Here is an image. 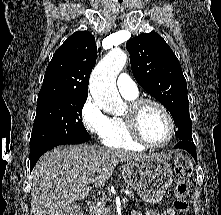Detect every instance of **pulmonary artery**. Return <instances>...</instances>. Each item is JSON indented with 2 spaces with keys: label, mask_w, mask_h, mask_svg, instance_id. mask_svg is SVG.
I'll return each instance as SVG.
<instances>
[{
  "label": "pulmonary artery",
  "mask_w": 221,
  "mask_h": 215,
  "mask_svg": "<svg viewBox=\"0 0 221 215\" xmlns=\"http://www.w3.org/2000/svg\"><path fill=\"white\" fill-rule=\"evenodd\" d=\"M117 87L122 95H127V96L138 95L137 84L127 74H121L118 76Z\"/></svg>",
  "instance_id": "pulmonary-artery-1"
}]
</instances>
